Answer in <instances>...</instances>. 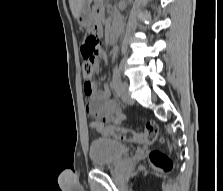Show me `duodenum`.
Instances as JSON below:
<instances>
[{"instance_id":"obj_1","label":"duodenum","mask_w":223,"mask_h":191,"mask_svg":"<svg viewBox=\"0 0 223 191\" xmlns=\"http://www.w3.org/2000/svg\"><path fill=\"white\" fill-rule=\"evenodd\" d=\"M119 34H120L119 26L117 24H114L110 29L109 43H114L119 37Z\"/></svg>"}]
</instances>
